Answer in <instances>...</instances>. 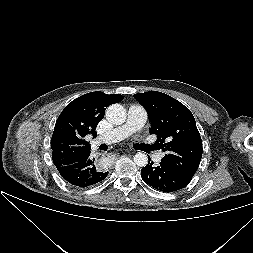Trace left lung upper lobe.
I'll list each match as a JSON object with an SVG mask.
<instances>
[{"label":"left lung upper lobe","mask_w":253,"mask_h":253,"mask_svg":"<svg viewBox=\"0 0 253 253\" xmlns=\"http://www.w3.org/2000/svg\"><path fill=\"white\" fill-rule=\"evenodd\" d=\"M145 107L150 134L166 154L162 162L191 181L202 157V140L191 111L178 100L157 91L133 95Z\"/></svg>","instance_id":"1"}]
</instances>
